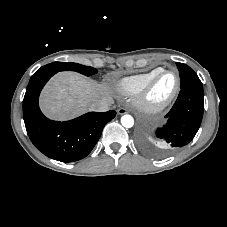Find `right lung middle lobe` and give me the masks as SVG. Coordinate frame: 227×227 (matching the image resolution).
I'll list each match as a JSON object with an SVG mask.
<instances>
[{"label":"right lung middle lobe","mask_w":227,"mask_h":227,"mask_svg":"<svg viewBox=\"0 0 227 227\" xmlns=\"http://www.w3.org/2000/svg\"><path fill=\"white\" fill-rule=\"evenodd\" d=\"M59 71H76L86 76H91L97 73L96 69L89 66L70 62H53L41 67L37 72L34 73V75L45 72L57 73Z\"/></svg>","instance_id":"obj_1"}]
</instances>
